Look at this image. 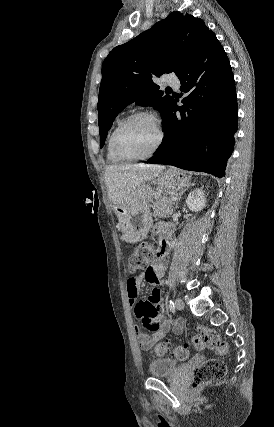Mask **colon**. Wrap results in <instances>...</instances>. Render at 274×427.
<instances>
[{
  "label": "colon",
  "instance_id": "colon-1",
  "mask_svg": "<svg viewBox=\"0 0 274 427\" xmlns=\"http://www.w3.org/2000/svg\"><path fill=\"white\" fill-rule=\"evenodd\" d=\"M155 256H158L156 248L151 243L139 245L127 260V270L137 273L146 266V263H153ZM193 336L195 345L199 349L207 348L218 355L228 354V345L219 334L213 329L198 326ZM158 347H151L150 354L156 359H165L168 352L179 360H186L190 356V350L186 346L174 345L168 341H159ZM226 365L219 359H208L203 361L195 371L191 382L192 389H204L212 383L220 382L226 375Z\"/></svg>",
  "mask_w": 274,
  "mask_h": 427
}]
</instances>
